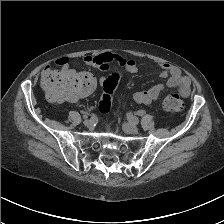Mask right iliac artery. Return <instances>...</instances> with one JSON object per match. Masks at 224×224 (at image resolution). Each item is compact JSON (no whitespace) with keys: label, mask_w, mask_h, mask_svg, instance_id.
<instances>
[{"label":"right iliac artery","mask_w":224,"mask_h":224,"mask_svg":"<svg viewBox=\"0 0 224 224\" xmlns=\"http://www.w3.org/2000/svg\"><path fill=\"white\" fill-rule=\"evenodd\" d=\"M90 120L93 122V124L97 123L98 119L96 115H92Z\"/></svg>","instance_id":"right-iliac-artery-1"}]
</instances>
